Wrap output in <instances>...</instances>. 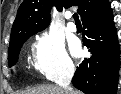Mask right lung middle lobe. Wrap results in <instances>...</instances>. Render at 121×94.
I'll return each mask as SVG.
<instances>
[{"mask_svg":"<svg viewBox=\"0 0 121 94\" xmlns=\"http://www.w3.org/2000/svg\"><path fill=\"white\" fill-rule=\"evenodd\" d=\"M41 30H27L21 33L16 39L10 41L9 51H8V63L9 66H13L16 64L18 60V55L23 43L32 35L39 32Z\"/></svg>","mask_w":121,"mask_h":94,"instance_id":"dd1d6c3e","label":"right lung middle lobe"}]
</instances>
